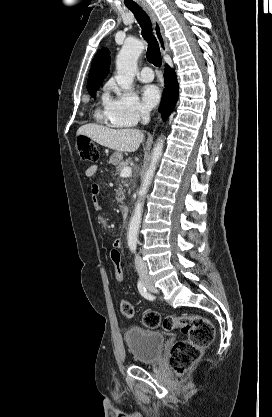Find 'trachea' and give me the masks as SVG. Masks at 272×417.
Segmentation results:
<instances>
[{
	"label": "trachea",
	"instance_id": "3493384b",
	"mask_svg": "<svg viewBox=\"0 0 272 417\" xmlns=\"http://www.w3.org/2000/svg\"><path fill=\"white\" fill-rule=\"evenodd\" d=\"M134 14L137 22L142 28V36L148 43L146 57L150 63L160 67L161 66V55L160 48L157 40L152 34V23L149 16L140 6L128 7Z\"/></svg>",
	"mask_w": 272,
	"mask_h": 417
}]
</instances>
